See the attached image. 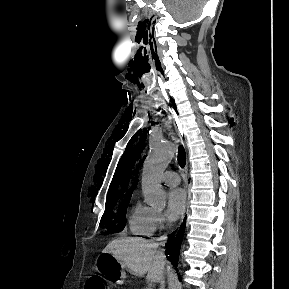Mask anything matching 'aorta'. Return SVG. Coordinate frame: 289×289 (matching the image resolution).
Returning <instances> with one entry per match:
<instances>
[{
	"instance_id": "aorta-1",
	"label": "aorta",
	"mask_w": 289,
	"mask_h": 289,
	"mask_svg": "<svg viewBox=\"0 0 289 289\" xmlns=\"http://www.w3.org/2000/svg\"><path fill=\"white\" fill-rule=\"evenodd\" d=\"M174 155L175 149L171 142L163 138L151 142L143 166L142 192L146 203L152 207H164L166 204V193L158 177L167 168Z\"/></svg>"
}]
</instances>
